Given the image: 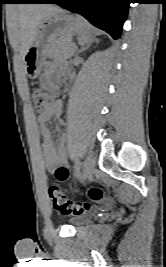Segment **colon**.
<instances>
[{"label":"colon","mask_w":166,"mask_h":267,"mask_svg":"<svg viewBox=\"0 0 166 267\" xmlns=\"http://www.w3.org/2000/svg\"><path fill=\"white\" fill-rule=\"evenodd\" d=\"M31 99L36 111L44 112L54 104V96L41 86H34L31 89ZM64 173L59 174V178H63ZM48 194L53 207L60 213L65 215H81L88 211L89 204L86 202L73 201L66 197L56 184H51L48 188ZM89 196L93 200H99L102 192L98 188H92Z\"/></svg>","instance_id":"obj_1"}]
</instances>
